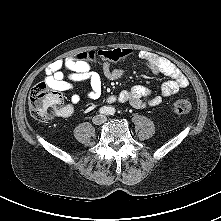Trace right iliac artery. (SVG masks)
<instances>
[{"label": "right iliac artery", "instance_id": "obj_1", "mask_svg": "<svg viewBox=\"0 0 221 221\" xmlns=\"http://www.w3.org/2000/svg\"><path fill=\"white\" fill-rule=\"evenodd\" d=\"M99 112H100L101 114H107V113H108V108L103 107V108H101V109L99 110Z\"/></svg>", "mask_w": 221, "mask_h": 221}]
</instances>
